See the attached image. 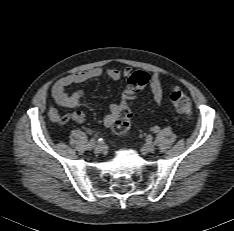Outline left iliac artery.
<instances>
[{
  "label": "left iliac artery",
  "instance_id": "44dca946",
  "mask_svg": "<svg viewBox=\"0 0 234 231\" xmlns=\"http://www.w3.org/2000/svg\"><path fill=\"white\" fill-rule=\"evenodd\" d=\"M152 130H153L154 133H157V132L160 131V127L154 126Z\"/></svg>",
  "mask_w": 234,
  "mask_h": 231
}]
</instances>
